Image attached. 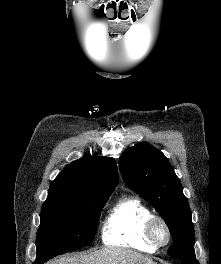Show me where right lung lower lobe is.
Returning <instances> with one entry per match:
<instances>
[{
  "label": "right lung lower lobe",
  "mask_w": 221,
  "mask_h": 264,
  "mask_svg": "<svg viewBox=\"0 0 221 264\" xmlns=\"http://www.w3.org/2000/svg\"><path fill=\"white\" fill-rule=\"evenodd\" d=\"M43 261H35L34 264H43Z\"/></svg>",
  "instance_id": "1"
}]
</instances>
